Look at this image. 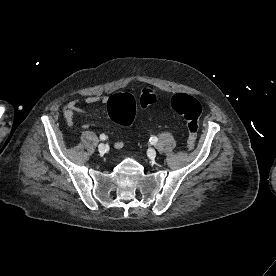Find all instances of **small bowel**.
<instances>
[{"instance_id":"c3829d8e","label":"small bowel","mask_w":276,"mask_h":276,"mask_svg":"<svg viewBox=\"0 0 276 276\" xmlns=\"http://www.w3.org/2000/svg\"><path fill=\"white\" fill-rule=\"evenodd\" d=\"M108 101V97L103 95H94V96H86L83 98H76L68 102L63 109V116L68 126H72L74 124V115L81 114L86 115V112L80 108L81 104H106ZM83 128H88L87 124L83 125ZM125 145L124 141H116L114 143V147L116 149H121Z\"/></svg>"}]
</instances>
